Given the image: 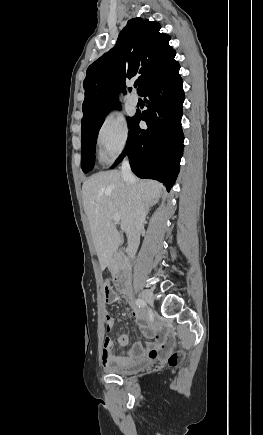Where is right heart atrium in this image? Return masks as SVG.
Segmentation results:
<instances>
[{"mask_svg":"<svg viewBox=\"0 0 263 435\" xmlns=\"http://www.w3.org/2000/svg\"><path fill=\"white\" fill-rule=\"evenodd\" d=\"M129 143V127L120 116L107 115L101 122L96 145L99 158L104 163L114 162L126 150Z\"/></svg>","mask_w":263,"mask_h":435,"instance_id":"right-heart-atrium-1","label":"right heart atrium"}]
</instances>
